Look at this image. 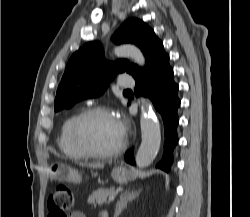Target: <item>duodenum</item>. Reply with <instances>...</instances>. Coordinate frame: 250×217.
Segmentation results:
<instances>
[{
  "label": "duodenum",
  "mask_w": 250,
  "mask_h": 217,
  "mask_svg": "<svg viewBox=\"0 0 250 217\" xmlns=\"http://www.w3.org/2000/svg\"><path fill=\"white\" fill-rule=\"evenodd\" d=\"M99 217H108V213L106 211L101 212Z\"/></svg>",
  "instance_id": "duodenum-1"
}]
</instances>
